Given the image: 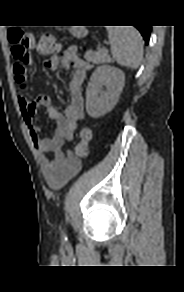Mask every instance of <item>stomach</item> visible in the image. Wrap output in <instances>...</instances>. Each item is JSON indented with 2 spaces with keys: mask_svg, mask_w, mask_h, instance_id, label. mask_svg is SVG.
Segmentation results:
<instances>
[{
  "mask_svg": "<svg viewBox=\"0 0 184 292\" xmlns=\"http://www.w3.org/2000/svg\"><path fill=\"white\" fill-rule=\"evenodd\" d=\"M70 31L76 37H83L84 35H86V30L82 27L73 26L71 27Z\"/></svg>",
  "mask_w": 184,
  "mask_h": 292,
  "instance_id": "1",
  "label": "stomach"
}]
</instances>
